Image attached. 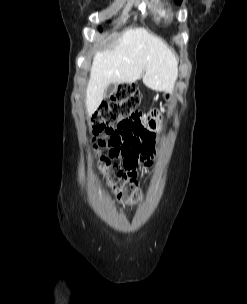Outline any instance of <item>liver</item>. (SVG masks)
Segmentation results:
<instances>
[{"mask_svg":"<svg viewBox=\"0 0 247 304\" xmlns=\"http://www.w3.org/2000/svg\"><path fill=\"white\" fill-rule=\"evenodd\" d=\"M178 59L160 39L144 28L129 29L106 50L95 53L86 88V112L92 115L110 83H143L155 91L172 92Z\"/></svg>","mask_w":247,"mask_h":304,"instance_id":"obj_1","label":"liver"}]
</instances>
